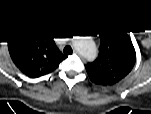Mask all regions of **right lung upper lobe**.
Wrapping results in <instances>:
<instances>
[{
  "label": "right lung upper lobe",
  "mask_w": 151,
  "mask_h": 114,
  "mask_svg": "<svg viewBox=\"0 0 151 114\" xmlns=\"http://www.w3.org/2000/svg\"><path fill=\"white\" fill-rule=\"evenodd\" d=\"M9 52L15 65L33 78L53 72L66 58L45 31L16 35L9 46Z\"/></svg>",
  "instance_id": "cb5924a9"
}]
</instances>
